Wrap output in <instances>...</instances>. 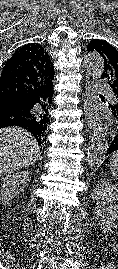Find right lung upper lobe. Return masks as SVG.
Returning a JSON list of instances; mask_svg holds the SVG:
<instances>
[{
	"label": "right lung upper lobe",
	"instance_id": "1",
	"mask_svg": "<svg viewBox=\"0 0 118 269\" xmlns=\"http://www.w3.org/2000/svg\"><path fill=\"white\" fill-rule=\"evenodd\" d=\"M54 74L48 53L40 44L31 43L7 60L0 76V94H31L36 97L37 111L32 132L37 139L47 131Z\"/></svg>",
	"mask_w": 118,
	"mask_h": 269
}]
</instances>
